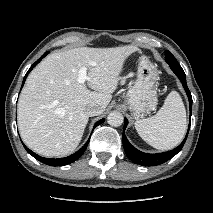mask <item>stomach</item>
<instances>
[{
    "instance_id": "0dacf381",
    "label": "stomach",
    "mask_w": 213,
    "mask_h": 213,
    "mask_svg": "<svg viewBox=\"0 0 213 213\" xmlns=\"http://www.w3.org/2000/svg\"><path fill=\"white\" fill-rule=\"evenodd\" d=\"M158 75L156 66L142 56L138 62L137 79L125 96V105L135 119L142 118L156 108L158 99L155 84Z\"/></svg>"
}]
</instances>
